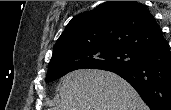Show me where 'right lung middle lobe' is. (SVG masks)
Masks as SVG:
<instances>
[{"instance_id":"dd1d6c3e","label":"right lung middle lobe","mask_w":171,"mask_h":110,"mask_svg":"<svg viewBox=\"0 0 171 110\" xmlns=\"http://www.w3.org/2000/svg\"><path fill=\"white\" fill-rule=\"evenodd\" d=\"M139 58V52L120 47L87 49L56 56L49 63L45 82H52L70 71L81 68L110 70L130 67L136 64Z\"/></svg>"}]
</instances>
